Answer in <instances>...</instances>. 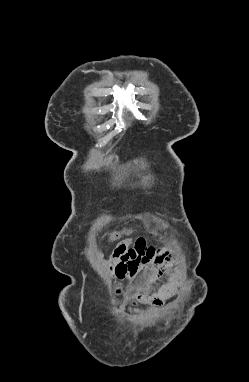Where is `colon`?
Masks as SVG:
<instances>
[{
  "label": "colon",
  "mask_w": 249,
  "mask_h": 382,
  "mask_svg": "<svg viewBox=\"0 0 249 382\" xmlns=\"http://www.w3.org/2000/svg\"><path fill=\"white\" fill-rule=\"evenodd\" d=\"M119 237H120L119 233H112L111 236H110V239L111 240H115V239H117ZM143 250H144V255H143L141 263H147V262L151 261L155 257V255H156V250L152 246H150L149 248H144ZM170 260H171L170 257L166 258V261L169 262ZM137 268H138V266H136L135 272H136ZM171 269H172L171 265H162V266H160L159 264H153L151 267L147 268V271L148 272H152V271H159L160 270L159 272L153 274L154 278L160 279L162 276H164L166 274L165 270H171ZM145 277L149 278L150 274L146 273ZM156 298L161 300L162 296L161 295H157Z\"/></svg>",
  "instance_id": "5ec220e1"
}]
</instances>
